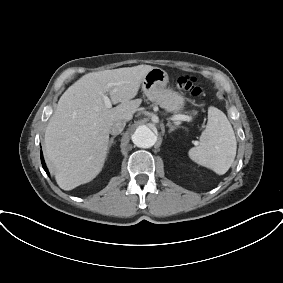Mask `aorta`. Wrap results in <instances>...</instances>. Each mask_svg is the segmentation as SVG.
<instances>
[{
    "instance_id": "aorta-1",
    "label": "aorta",
    "mask_w": 283,
    "mask_h": 283,
    "mask_svg": "<svg viewBox=\"0 0 283 283\" xmlns=\"http://www.w3.org/2000/svg\"><path fill=\"white\" fill-rule=\"evenodd\" d=\"M132 141L137 147L150 148L156 143L157 137L149 127L142 125L134 132Z\"/></svg>"
}]
</instances>
